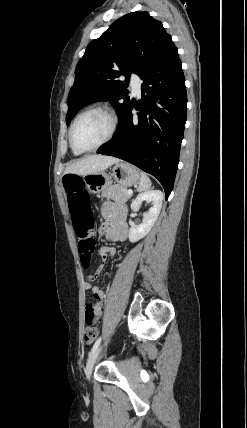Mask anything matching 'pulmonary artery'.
<instances>
[{"label": "pulmonary artery", "mask_w": 247, "mask_h": 428, "mask_svg": "<svg viewBox=\"0 0 247 428\" xmlns=\"http://www.w3.org/2000/svg\"><path fill=\"white\" fill-rule=\"evenodd\" d=\"M131 84H132V88L135 94H139L140 93V89H141V80L138 76L133 75L131 78Z\"/></svg>", "instance_id": "obj_1"}]
</instances>
